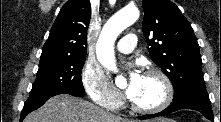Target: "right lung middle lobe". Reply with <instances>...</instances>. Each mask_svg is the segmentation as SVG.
Returning a JSON list of instances; mask_svg holds the SVG:
<instances>
[{
    "instance_id": "1",
    "label": "right lung middle lobe",
    "mask_w": 221,
    "mask_h": 122,
    "mask_svg": "<svg viewBox=\"0 0 221 122\" xmlns=\"http://www.w3.org/2000/svg\"><path fill=\"white\" fill-rule=\"evenodd\" d=\"M84 62L85 57L40 60L37 77L30 95L56 89H72L85 93L81 80Z\"/></svg>"
}]
</instances>
